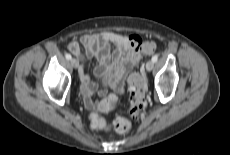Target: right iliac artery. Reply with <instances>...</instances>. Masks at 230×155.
<instances>
[{"label":"right iliac artery","instance_id":"1","mask_svg":"<svg viewBox=\"0 0 230 155\" xmlns=\"http://www.w3.org/2000/svg\"><path fill=\"white\" fill-rule=\"evenodd\" d=\"M65 57L67 60H70L72 58L70 54H66Z\"/></svg>","mask_w":230,"mask_h":155}]
</instances>
